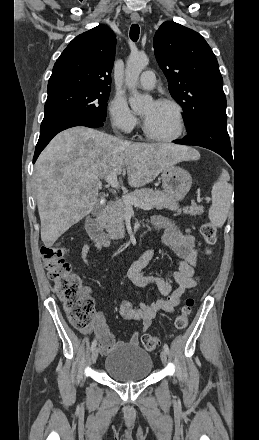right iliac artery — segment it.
<instances>
[{"instance_id": "obj_1", "label": "right iliac artery", "mask_w": 259, "mask_h": 440, "mask_svg": "<svg viewBox=\"0 0 259 440\" xmlns=\"http://www.w3.org/2000/svg\"><path fill=\"white\" fill-rule=\"evenodd\" d=\"M97 341L96 339L93 340L92 345H91V350L93 351L96 347Z\"/></svg>"}]
</instances>
